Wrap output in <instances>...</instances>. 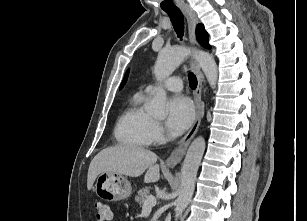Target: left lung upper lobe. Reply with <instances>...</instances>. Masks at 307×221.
I'll return each instance as SVG.
<instances>
[{"mask_svg": "<svg viewBox=\"0 0 307 221\" xmlns=\"http://www.w3.org/2000/svg\"><path fill=\"white\" fill-rule=\"evenodd\" d=\"M196 34H197V39L198 41L205 47V48H210V45L208 44V34L204 30V27L202 24H198L197 29H196ZM128 77V72L126 73L123 82L120 86V89L125 85Z\"/></svg>", "mask_w": 307, "mask_h": 221, "instance_id": "5c2ea615", "label": "left lung upper lobe"}]
</instances>
